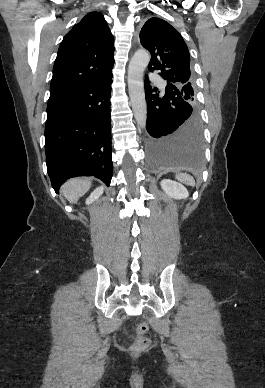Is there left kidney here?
Returning <instances> with one entry per match:
<instances>
[{"label": "left kidney", "mask_w": 265, "mask_h": 388, "mask_svg": "<svg viewBox=\"0 0 265 388\" xmlns=\"http://www.w3.org/2000/svg\"><path fill=\"white\" fill-rule=\"evenodd\" d=\"M160 186L162 190H164L165 194L169 196V198H174V200H185L188 198L189 194L182 186V184H178V182H172V180H162L160 182Z\"/></svg>", "instance_id": "5707ae66"}]
</instances>
